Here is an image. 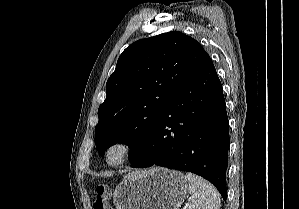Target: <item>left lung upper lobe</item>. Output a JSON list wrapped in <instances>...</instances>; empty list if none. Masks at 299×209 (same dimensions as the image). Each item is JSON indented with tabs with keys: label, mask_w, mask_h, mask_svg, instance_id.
<instances>
[{
	"label": "left lung upper lobe",
	"mask_w": 299,
	"mask_h": 209,
	"mask_svg": "<svg viewBox=\"0 0 299 209\" xmlns=\"http://www.w3.org/2000/svg\"><path fill=\"white\" fill-rule=\"evenodd\" d=\"M211 61L195 39L171 31L132 43L120 55L99 106L95 144L103 157L129 146L132 162L143 149L170 98Z\"/></svg>",
	"instance_id": "1"
}]
</instances>
